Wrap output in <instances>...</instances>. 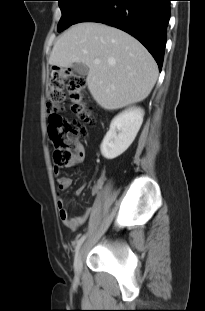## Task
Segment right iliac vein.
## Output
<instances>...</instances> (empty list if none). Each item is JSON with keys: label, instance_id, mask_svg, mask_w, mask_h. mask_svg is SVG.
<instances>
[{"label": "right iliac vein", "instance_id": "63e3f726", "mask_svg": "<svg viewBox=\"0 0 205 311\" xmlns=\"http://www.w3.org/2000/svg\"><path fill=\"white\" fill-rule=\"evenodd\" d=\"M82 258H83V252L82 250H79L74 260V270L77 276H79L81 273Z\"/></svg>", "mask_w": 205, "mask_h": 311}]
</instances>
